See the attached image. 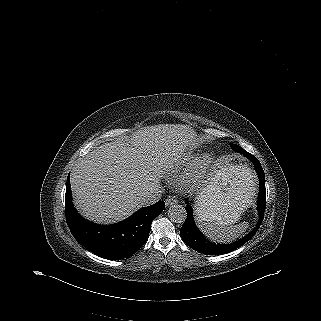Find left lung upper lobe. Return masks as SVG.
Masks as SVG:
<instances>
[{
  "mask_svg": "<svg viewBox=\"0 0 321 321\" xmlns=\"http://www.w3.org/2000/svg\"><path fill=\"white\" fill-rule=\"evenodd\" d=\"M230 146H231V148H232L234 151H236V152H238V150L242 148V147H240V146H238V145H236V144H230Z\"/></svg>",
  "mask_w": 321,
  "mask_h": 321,
  "instance_id": "5c2ea615",
  "label": "left lung upper lobe"
}]
</instances>
